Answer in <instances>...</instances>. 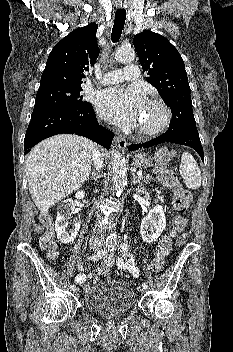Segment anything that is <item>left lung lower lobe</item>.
<instances>
[{"instance_id": "1", "label": "left lung lower lobe", "mask_w": 233, "mask_h": 352, "mask_svg": "<svg viewBox=\"0 0 233 352\" xmlns=\"http://www.w3.org/2000/svg\"><path fill=\"white\" fill-rule=\"evenodd\" d=\"M166 142L192 147L204 162V152L197 129H188L184 131L167 130L161 136L148 142L131 144L128 149L129 151H134L139 148H148Z\"/></svg>"}]
</instances>
